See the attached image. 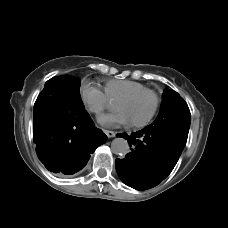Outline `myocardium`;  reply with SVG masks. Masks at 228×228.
Listing matches in <instances>:
<instances>
[{"mask_svg": "<svg viewBox=\"0 0 228 228\" xmlns=\"http://www.w3.org/2000/svg\"><path fill=\"white\" fill-rule=\"evenodd\" d=\"M144 95H151L153 97V106L150 110V112L142 119H139V120H134V119H130L131 123L135 126H142V125H145L146 123H148L152 118L153 116L155 115L157 109H158V105H159V98H158V95L152 91V90H146V91H143L141 93H138L136 95H133V96H130L128 98H126L125 100H123L119 105H118V108L124 113V108L130 104L132 101L136 100L137 98L141 97V96H144Z\"/></svg>", "mask_w": 228, "mask_h": 228, "instance_id": "f54148a6", "label": "myocardium"}]
</instances>
